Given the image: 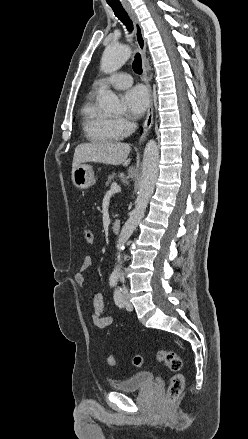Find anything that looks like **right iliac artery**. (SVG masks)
<instances>
[{
    "mask_svg": "<svg viewBox=\"0 0 248 439\" xmlns=\"http://www.w3.org/2000/svg\"><path fill=\"white\" fill-rule=\"evenodd\" d=\"M118 278L119 276L116 274H111L110 278H109V283L111 287H115L117 282H118Z\"/></svg>",
    "mask_w": 248,
    "mask_h": 439,
    "instance_id": "82829eb1",
    "label": "right iliac artery"
}]
</instances>
